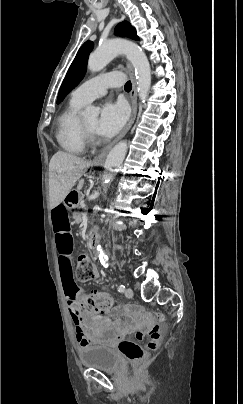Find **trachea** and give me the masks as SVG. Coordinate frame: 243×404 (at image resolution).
Here are the masks:
<instances>
[{"label":"trachea","mask_w":243,"mask_h":404,"mask_svg":"<svg viewBox=\"0 0 243 404\" xmlns=\"http://www.w3.org/2000/svg\"><path fill=\"white\" fill-rule=\"evenodd\" d=\"M124 89L130 91L132 89V84L130 81L126 82Z\"/></svg>","instance_id":"1"}]
</instances>
